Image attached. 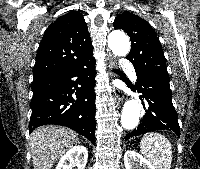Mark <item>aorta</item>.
Segmentation results:
<instances>
[{
    "label": "aorta",
    "mask_w": 200,
    "mask_h": 169,
    "mask_svg": "<svg viewBox=\"0 0 200 169\" xmlns=\"http://www.w3.org/2000/svg\"><path fill=\"white\" fill-rule=\"evenodd\" d=\"M108 46L117 56H126L130 51L129 38L123 32H112L108 36ZM141 106L135 99L124 103L121 124L127 130H133L139 124Z\"/></svg>",
    "instance_id": "762f6f07"
}]
</instances>
